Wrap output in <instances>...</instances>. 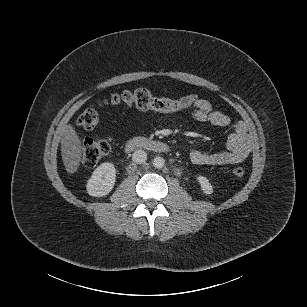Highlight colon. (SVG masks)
Here are the masks:
<instances>
[{
	"label": "colon",
	"mask_w": 307,
	"mask_h": 307,
	"mask_svg": "<svg viewBox=\"0 0 307 307\" xmlns=\"http://www.w3.org/2000/svg\"><path fill=\"white\" fill-rule=\"evenodd\" d=\"M196 97L186 95L178 99L163 97L158 98L145 88L136 90H125L114 93L98 103V107L104 106H131L140 110L155 111L160 113H170L191 107L196 102ZM99 113L94 108H88L78 117V125L84 129L90 130L99 124ZM112 149V140L110 138L93 139L85 138L82 141V161L88 167L95 166ZM232 175L235 178H242L245 175V169L236 166L232 169Z\"/></svg>",
	"instance_id": "5ec220e1"
}]
</instances>
